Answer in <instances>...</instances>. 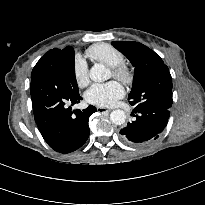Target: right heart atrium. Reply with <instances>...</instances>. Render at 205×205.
I'll return each instance as SVG.
<instances>
[{
    "instance_id": "right-heart-atrium-1",
    "label": "right heart atrium",
    "mask_w": 205,
    "mask_h": 205,
    "mask_svg": "<svg viewBox=\"0 0 205 205\" xmlns=\"http://www.w3.org/2000/svg\"><path fill=\"white\" fill-rule=\"evenodd\" d=\"M72 74L77 86L85 87L89 83L88 64L80 54H76L73 58Z\"/></svg>"
}]
</instances>
